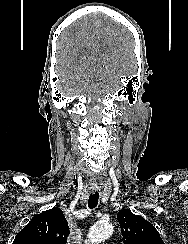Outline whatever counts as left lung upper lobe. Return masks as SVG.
Wrapping results in <instances>:
<instances>
[{"mask_svg": "<svg viewBox=\"0 0 188 244\" xmlns=\"http://www.w3.org/2000/svg\"><path fill=\"white\" fill-rule=\"evenodd\" d=\"M124 244H164L156 228L141 216L128 209L117 214Z\"/></svg>", "mask_w": 188, "mask_h": 244, "instance_id": "5c2ea615", "label": "left lung upper lobe"}]
</instances>
